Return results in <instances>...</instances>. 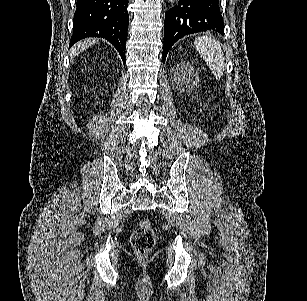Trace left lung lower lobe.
Masks as SVG:
<instances>
[{
	"mask_svg": "<svg viewBox=\"0 0 307 301\" xmlns=\"http://www.w3.org/2000/svg\"><path fill=\"white\" fill-rule=\"evenodd\" d=\"M213 30L224 34L219 0H179L165 13L163 63L172 45L183 36Z\"/></svg>",
	"mask_w": 307,
	"mask_h": 301,
	"instance_id": "0a47b994",
	"label": "left lung lower lobe"
}]
</instances>
